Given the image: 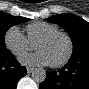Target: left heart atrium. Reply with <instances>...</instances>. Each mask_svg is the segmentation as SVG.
Masks as SVG:
<instances>
[{"instance_id": "obj_1", "label": "left heart atrium", "mask_w": 89, "mask_h": 89, "mask_svg": "<svg viewBox=\"0 0 89 89\" xmlns=\"http://www.w3.org/2000/svg\"><path fill=\"white\" fill-rule=\"evenodd\" d=\"M20 61L26 65H49L51 64L48 56L42 52L37 51L34 54L24 55L20 58Z\"/></svg>"}]
</instances>
